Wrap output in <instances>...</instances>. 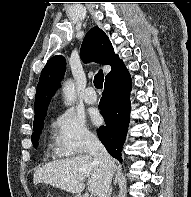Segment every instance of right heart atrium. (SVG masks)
<instances>
[{
	"mask_svg": "<svg viewBox=\"0 0 191 197\" xmlns=\"http://www.w3.org/2000/svg\"><path fill=\"white\" fill-rule=\"evenodd\" d=\"M53 151L57 156H70L86 151L95 141L84 120L71 111L58 114L52 124Z\"/></svg>",
	"mask_w": 191,
	"mask_h": 197,
	"instance_id": "1",
	"label": "right heart atrium"
}]
</instances>
